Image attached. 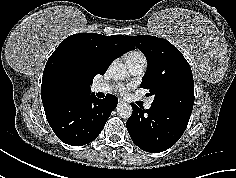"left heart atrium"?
Returning a JSON list of instances; mask_svg holds the SVG:
<instances>
[{"label":"left heart atrium","mask_w":236,"mask_h":178,"mask_svg":"<svg viewBox=\"0 0 236 178\" xmlns=\"http://www.w3.org/2000/svg\"><path fill=\"white\" fill-rule=\"evenodd\" d=\"M118 91L121 93V94H125L127 92V88L124 87V86H119L118 87Z\"/></svg>","instance_id":"39dd6f15"}]
</instances>
